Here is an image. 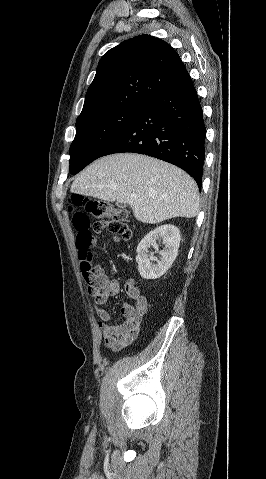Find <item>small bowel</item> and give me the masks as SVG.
Listing matches in <instances>:
<instances>
[{
    "label": "small bowel",
    "mask_w": 266,
    "mask_h": 479,
    "mask_svg": "<svg viewBox=\"0 0 266 479\" xmlns=\"http://www.w3.org/2000/svg\"><path fill=\"white\" fill-rule=\"evenodd\" d=\"M97 243L96 239L91 240V245ZM96 278V296L94 305L99 316V328L102 332L105 345L112 350H120L131 344L138 336L141 323L148 312L147 299L140 293L135 282L129 280L125 285L127 295L134 301V305L126 302L122 304V314L125 321L121 324H112V314L106 309V304L112 296H118L121 292L119 282L109 277L102 265L94 267Z\"/></svg>",
    "instance_id": "c3829d8e"
}]
</instances>
